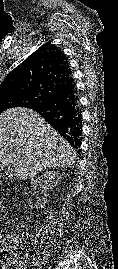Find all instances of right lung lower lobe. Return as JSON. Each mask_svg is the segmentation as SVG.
I'll return each instance as SVG.
<instances>
[{"instance_id": "obj_1", "label": "right lung lower lobe", "mask_w": 118, "mask_h": 269, "mask_svg": "<svg viewBox=\"0 0 118 269\" xmlns=\"http://www.w3.org/2000/svg\"><path fill=\"white\" fill-rule=\"evenodd\" d=\"M29 108L41 114L71 146L80 147L82 116L75 83L67 89L55 93L45 102L32 105Z\"/></svg>"}]
</instances>
